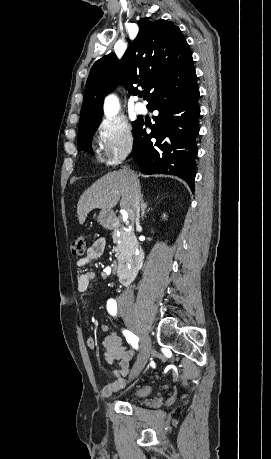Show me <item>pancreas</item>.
<instances>
[{
	"instance_id": "cf45deb5",
	"label": "pancreas",
	"mask_w": 271,
	"mask_h": 459,
	"mask_svg": "<svg viewBox=\"0 0 271 459\" xmlns=\"http://www.w3.org/2000/svg\"><path fill=\"white\" fill-rule=\"evenodd\" d=\"M117 233V229H114L112 237L113 239L120 241V243H117L116 245V249L118 251L117 255L125 257V255H128L132 249L130 233H126V231H119L120 235H117Z\"/></svg>"
}]
</instances>
